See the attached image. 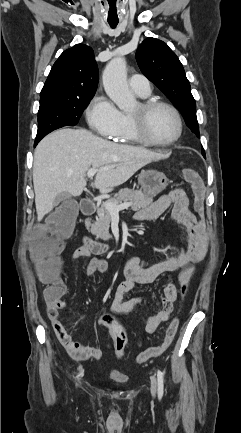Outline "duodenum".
<instances>
[{"label":"duodenum","mask_w":241,"mask_h":433,"mask_svg":"<svg viewBox=\"0 0 241 433\" xmlns=\"http://www.w3.org/2000/svg\"><path fill=\"white\" fill-rule=\"evenodd\" d=\"M80 209L81 212L84 215H91L95 212L96 206L93 200L89 199V198H84L82 199L81 203H80ZM84 247H86L87 249L90 250L91 253L93 254H102L106 251V245L95 242L93 240H91L88 237L84 238ZM120 252V250H119Z\"/></svg>","instance_id":"duodenum-1"}]
</instances>
